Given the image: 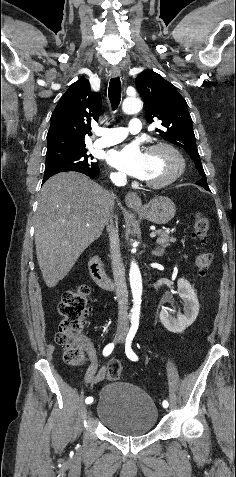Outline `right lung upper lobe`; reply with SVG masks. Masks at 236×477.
Instances as JSON below:
<instances>
[{"instance_id": "cb5924a9", "label": "right lung upper lobe", "mask_w": 236, "mask_h": 477, "mask_svg": "<svg viewBox=\"0 0 236 477\" xmlns=\"http://www.w3.org/2000/svg\"><path fill=\"white\" fill-rule=\"evenodd\" d=\"M101 108V96L90 90L86 78L70 85L51 116L46 162L85 149V135L91 131V122L98 121Z\"/></svg>"}]
</instances>
